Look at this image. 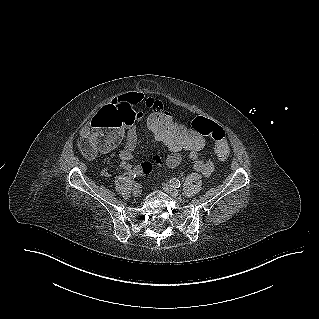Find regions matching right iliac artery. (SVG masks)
I'll return each instance as SVG.
<instances>
[{"mask_svg": "<svg viewBox=\"0 0 319 319\" xmlns=\"http://www.w3.org/2000/svg\"><path fill=\"white\" fill-rule=\"evenodd\" d=\"M136 174H138V172L132 171V172L130 173V177H131V178H135V177H136Z\"/></svg>", "mask_w": 319, "mask_h": 319, "instance_id": "obj_1", "label": "right iliac artery"}]
</instances>
